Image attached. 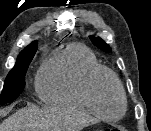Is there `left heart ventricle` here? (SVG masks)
I'll return each instance as SVG.
<instances>
[{
    "label": "left heart ventricle",
    "instance_id": "left-heart-ventricle-1",
    "mask_svg": "<svg viewBox=\"0 0 151 131\" xmlns=\"http://www.w3.org/2000/svg\"><path fill=\"white\" fill-rule=\"evenodd\" d=\"M95 100L98 108L108 116H117L122 108L120 94L112 82L106 76L100 77L94 90Z\"/></svg>",
    "mask_w": 151,
    "mask_h": 131
}]
</instances>
